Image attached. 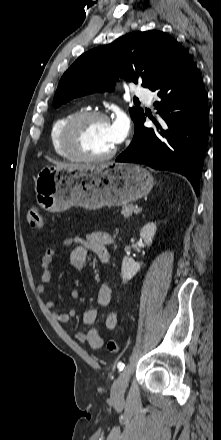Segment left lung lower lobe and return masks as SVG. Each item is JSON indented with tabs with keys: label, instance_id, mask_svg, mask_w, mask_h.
Listing matches in <instances>:
<instances>
[{
	"label": "left lung lower lobe",
	"instance_id": "left-lung-lower-lobe-1",
	"mask_svg": "<svg viewBox=\"0 0 221 440\" xmlns=\"http://www.w3.org/2000/svg\"><path fill=\"white\" fill-rule=\"evenodd\" d=\"M159 101L154 103L160 118L156 128L135 126L128 148L116 162L140 163L185 176L199 194V179L207 146V94L197 68L182 49L175 62L150 88Z\"/></svg>",
	"mask_w": 221,
	"mask_h": 440
}]
</instances>
